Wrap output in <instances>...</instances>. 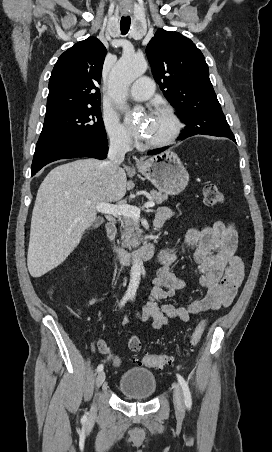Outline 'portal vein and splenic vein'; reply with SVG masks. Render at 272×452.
<instances>
[{
  "mask_svg": "<svg viewBox=\"0 0 272 452\" xmlns=\"http://www.w3.org/2000/svg\"><path fill=\"white\" fill-rule=\"evenodd\" d=\"M155 206L154 201L146 202L142 209L151 208ZM96 210L109 215H122L131 218H139L141 208L128 204L112 205L108 203H100L96 206Z\"/></svg>",
  "mask_w": 272,
  "mask_h": 452,
  "instance_id": "portal-vein-and-splenic-vein-1",
  "label": "portal vein and splenic vein"
}]
</instances>
